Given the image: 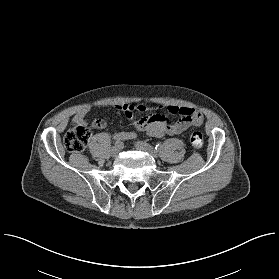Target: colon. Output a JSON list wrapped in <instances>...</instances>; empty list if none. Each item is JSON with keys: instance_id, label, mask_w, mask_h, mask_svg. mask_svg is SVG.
Masks as SVG:
<instances>
[{"instance_id": "5ec220e1", "label": "colon", "mask_w": 279, "mask_h": 279, "mask_svg": "<svg viewBox=\"0 0 279 279\" xmlns=\"http://www.w3.org/2000/svg\"><path fill=\"white\" fill-rule=\"evenodd\" d=\"M134 110H137L134 108ZM92 136V131L86 123L74 124L64 136V145L70 152H81ZM190 143L195 148L203 145V136L200 132H193L190 136Z\"/></svg>"}]
</instances>
